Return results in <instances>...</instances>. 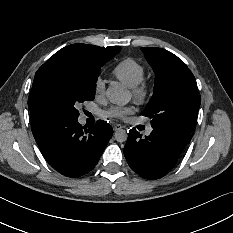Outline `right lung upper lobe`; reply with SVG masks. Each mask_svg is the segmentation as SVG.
Listing matches in <instances>:
<instances>
[{"mask_svg": "<svg viewBox=\"0 0 233 233\" xmlns=\"http://www.w3.org/2000/svg\"><path fill=\"white\" fill-rule=\"evenodd\" d=\"M119 46L102 48L87 44H72L56 52L37 71L34 80L37 79L40 71L54 63H65L86 71L100 70L103 64L109 61L120 51Z\"/></svg>", "mask_w": 233, "mask_h": 233, "instance_id": "1", "label": "right lung upper lobe"}]
</instances>
